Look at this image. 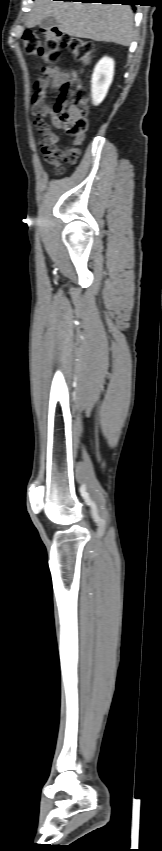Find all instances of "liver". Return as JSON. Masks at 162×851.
I'll return each instance as SVG.
<instances>
[{"label":"liver","instance_id":"1","mask_svg":"<svg viewBox=\"0 0 162 851\" xmlns=\"http://www.w3.org/2000/svg\"><path fill=\"white\" fill-rule=\"evenodd\" d=\"M54 16L61 32L73 37L129 46L133 40L130 6L72 1L35 0L26 22L32 28Z\"/></svg>","mask_w":162,"mask_h":851}]
</instances>
